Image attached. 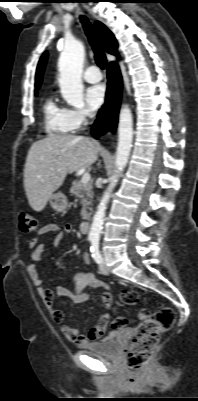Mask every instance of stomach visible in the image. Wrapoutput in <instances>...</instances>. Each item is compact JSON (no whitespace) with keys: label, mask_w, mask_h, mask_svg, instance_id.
<instances>
[{"label":"stomach","mask_w":198,"mask_h":401,"mask_svg":"<svg viewBox=\"0 0 198 401\" xmlns=\"http://www.w3.org/2000/svg\"><path fill=\"white\" fill-rule=\"evenodd\" d=\"M49 202L53 210L56 212L65 211L68 205L67 197L62 192L52 194Z\"/></svg>","instance_id":"0dacf381"}]
</instances>
